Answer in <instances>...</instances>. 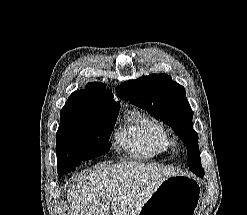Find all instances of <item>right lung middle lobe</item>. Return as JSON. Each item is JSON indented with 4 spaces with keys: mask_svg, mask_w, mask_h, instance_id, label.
I'll list each match as a JSON object with an SVG mask.
<instances>
[{
    "mask_svg": "<svg viewBox=\"0 0 247 215\" xmlns=\"http://www.w3.org/2000/svg\"><path fill=\"white\" fill-rule=\"evenodd\" d=\"M118 112L86 106L68 98L61 110L56 134L58 174L75 170L83 161L110 149L109 137Z\"/></svg>",
    "mask_w": 247,
    "mask_h": 215,
    "instance_id": "obj_1",
    "label": "right lung middle lobe"
}]
</instances>
